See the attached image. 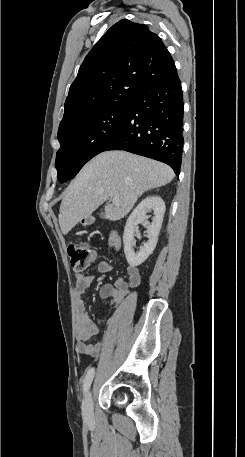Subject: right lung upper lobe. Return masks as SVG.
<instances>
[{
	"instance_id": "1",
	"label": "right lung upper lobe",
	"mask_w": 245,
	"mask_h": 457,
	"mask_svg": "<svg viewBox=\"0 0 245 457\" xmlns=\"http://www.w3.org/2000/svg\"><path fill=\"white\" fill-rule=\"evenodd\" d=\"M159 36L123 19L91 49L69 89L60 124L118 100H132L154 79L176 72Z\"/></svg>"
}]
</instances>
